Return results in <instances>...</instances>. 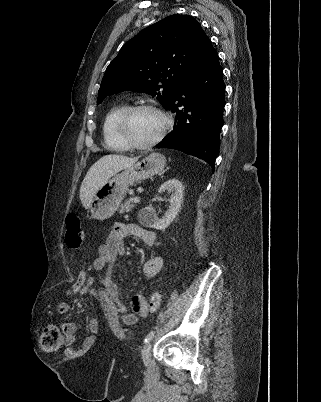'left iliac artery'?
I'll return each instance as SVG.
<instances>
[{
    "mask_svg": "<svg viewBox=\"0 0 321 402\" xmlns=\"http://www.w3.org/2000/svg\"><path fill=\"white\" fill-rule=\"evenodd\" d=\"M154 334H155L154 331H150L145 338V343L149 342L154 337Z\"/></svg>",
    "mask_w": 321,
    "mask_h": 402,
    "instance_id": "left-iliac-artery-1",
    "label": "left iliac artery"
}]
</instances>
